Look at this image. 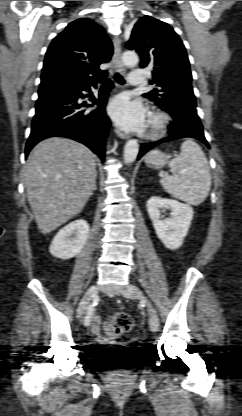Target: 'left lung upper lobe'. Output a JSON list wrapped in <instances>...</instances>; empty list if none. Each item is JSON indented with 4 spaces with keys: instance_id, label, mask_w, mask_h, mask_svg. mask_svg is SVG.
I'll return each mask as SVG.
<instances>
[{
    "instance_id": "1",
    "label": "left lung upper lobe",
    "mask_w": 242,
    "mask_h": 416,
    "mask_svg": "<svg viewBox=\"0 0 242 416\" xmlns=\"http://www.w3.org/2000/svg\"><path fill=\"white\" fill-rule=\"evenodd\" d=\"M126 47L139 53L141 68L149 62L154 66L150 84L155 83L159 88H154L144 97L171 115H197L188 56L170 25L144 16L135 24Z\"/></svg>"
}]
</instances>
